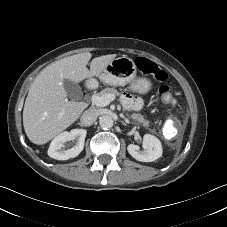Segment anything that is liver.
<instances>
[{"label":"liver","mask_w":227,"mask_h":227,"mask_svg":"<svg viewBox=\"0 0 227 227\" xmlns=\"http://www.w3.org/2000/svg\"><path fill=\"white\" fill-rule=\"evenodd\" d=\"M92 54L80 53L58 60L45 67L33 81L23 109V126L29 140L37 145L49 142L73 124L88 104L69 101L65 79L79 83L99 77L116 54L92 59Z\"/></svg>","instance_id":"1"}]
</instances>
